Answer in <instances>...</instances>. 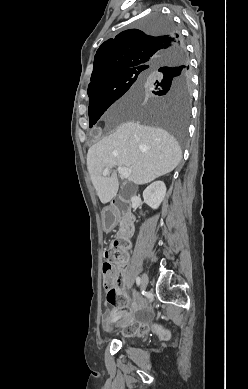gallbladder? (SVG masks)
<instances>
[{"mask_svg": "<svg viewBox=\"0 0 248 389\" xmlns=\"http://www.w3.org/2000/svg\"><path fill=\"white\" fill-rule=\"evenodd\" d=\"M122 195H123V196H126V195H127V190H126V189L123 190Z\"/></svg>", "mask_w": 248, "mask_h": 389, "instance_id": "1", "label": "gallbladder"}]
</instances>
